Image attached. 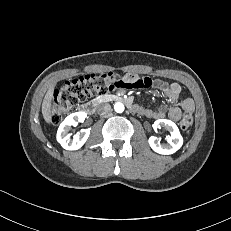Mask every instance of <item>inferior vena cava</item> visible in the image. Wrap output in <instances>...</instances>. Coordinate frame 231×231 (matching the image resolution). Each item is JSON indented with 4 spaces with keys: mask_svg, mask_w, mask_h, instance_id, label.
Wrapping results in <instances>:
<instances>
[{
    "mask_svg": "<svg viewBox=\"0 0 231 231\" xmlns=\"http://www.w3.org/2000/svg\"><path fill=\"white\" fill-rule=\"evenodd\" d=\"M110 110H111V106L108 103H102V104L97 106V112L100 115H105V114L109 113Z\"/></svg>",
    "mask_w": 231,
    "mask_h": 231,
    "instance_id": "602c4592",
    "label": "inferior vena cava"
}]
</instances>
